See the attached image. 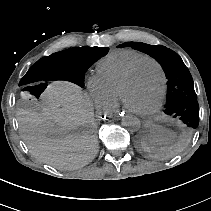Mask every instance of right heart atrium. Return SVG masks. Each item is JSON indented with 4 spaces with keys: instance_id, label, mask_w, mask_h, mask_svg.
Returning a JSON list of instances; mask_svg holds the SVG:
<instances>
[{
    "instance_id": "1",
    "label": "right heart atrium",
    "mask_w": 211,
    "mask_h": 211,
    "mask_svg": "<svg viewBox=\"0 0 211 211\" xmlns=\"http://www.w3.org/2000/svg\"><path fill=\"white\" fill-rule=\"evenodd\" d=\"M87 87L94 103L99 110L104 111L111 108L110 98L96 76L89 78Z\"/></svg>"
}]
</instances>
